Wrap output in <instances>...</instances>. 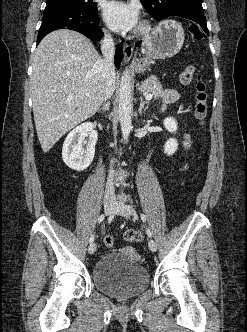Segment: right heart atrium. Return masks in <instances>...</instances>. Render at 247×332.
<instances>
[{"label":"right heart atrium","instance_id":"obj_1","mask_svg":"<svg viewBox=\"0 0 247 332\" xmlns=\"http://www.w3.org/2000/svg\"><path fill=\"white\" fill-rule=\"evenodd\" d=\"M105 34H106L107 37H109V33L107 31H105Z\"/></svg>","mask_w":247,"mask_h":332}]
</instances>
